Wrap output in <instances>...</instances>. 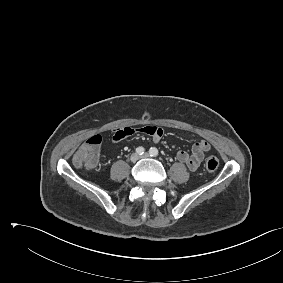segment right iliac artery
<instances>
[{
  "instance_id": "82829eb1",
  "label": "right iliac artery",
  "mask_w": 283,
  "mask_h": 283,
  "mask_svg": "<svg viewBox=\"0 0 283 283\" xmlns=\"http://www.w3.org/2000/svg\"><path fill=\"white\" fill-rule=\"evenodd\" d=\"M144 148L143 147H138L136 148V153L139 154V155H142L144 153Z\"/></svg>"
}]
</instances>
